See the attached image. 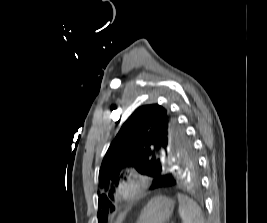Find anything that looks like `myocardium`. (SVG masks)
I'll return each mask as SVG.
<instances>
[{
  "instance_id": "f54148a6",
  "label": "myocardium",
  "mask_w": 267,
  "mask_h": 223,
  "mask_svg": "<svg viewBox=\"0 0 267 223\" xmlns=\"http://www.w3.org/2000/svg\"><path fill=\"white\" fill-rule=\"evenodd\" d=\"M147 187V178L139 173L120 180L114 188L115 198L124 203L138 199Z\"/></svg>"
}]
</instances>
